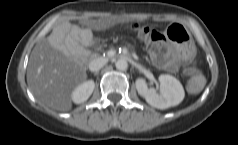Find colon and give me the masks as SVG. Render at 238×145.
Instances as JSON below:
<instances>
[{"instance_id":"1","label":"colon","mask_w":238,"mask_h":145,"mask_svg":"<svg viewBox=\"0 0 238 145\" xmlns=\"http://www.w3.org/2000/svg\"><path fill=\"white\" fill-rule=\"evenodd\" d=\"M134 29L145 41L148 51L150 52L152 59L156 63L160 65L174 67V64L168 61V42L166 37L161 32L153 28L139 25H135ZM189 71L192 74L188 83L189 90L191 92H199L204 86V77L198 71L195 65L191 66Z\"/></svg>"}]
</instances>
